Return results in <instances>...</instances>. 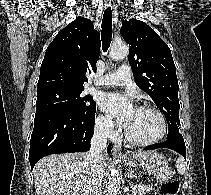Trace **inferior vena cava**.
<instances>
[{
	"mask_svg": "<svg viewBox=\"0 0 211 195\" xmlns=\"http://www.w3.org/2000/svg\"><path fill=\"white\" fill-rule=\"evenodd\" d=\"M111 131L112 122L110 120L97 124L95 127L94 135L91 139V149L86 154L90 166L87 195H100L99 190L104 176L102 167L103 150L107 146V137Z\"/></svg>",
	"mask_w": 211,
	"mask_h": 195,
	"instance_id": "obj_1",
	"label": "inferior vena cava"
}]
</instances>
